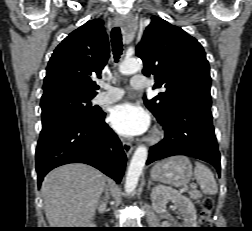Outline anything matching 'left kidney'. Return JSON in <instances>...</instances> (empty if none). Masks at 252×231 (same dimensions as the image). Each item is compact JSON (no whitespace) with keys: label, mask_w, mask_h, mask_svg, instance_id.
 <instances>
[{"label":"left kidney","mask_w":252,"mask_h":231,"mask_svg":"<svg viewBox=\"0 0 252 231\" xmlns=\"http://www.w3.org/2000/svg\"><path fill=\"white\" fill-rule=\"evenodd\" d=\"M151 200L152 206L157 213H162L167 202L170 200L180 214H182L183 223L180 227L196 228L197 215L195 206L189 198L183 196L178 191L165 186H156L151 191Z\"/></svg>","instance_id":"obj_1"}]
</instances>
